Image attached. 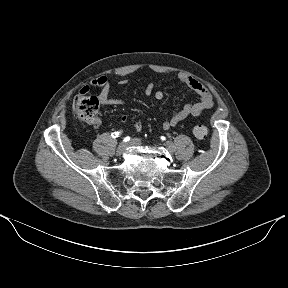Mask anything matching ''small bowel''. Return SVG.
<instances>
[{
  "label": "small bowel",
  "instance_id": "1",
  "mask_svg": "<svg viewBox=\"0 0 288 288\" xmlns=\"http://www.w3.org/2000/svg\"><path fill=\"white\" fill-rule=\"evenodd\" d=\"M178 79L181 83L191 88L199 96V100L192 104L184 105L170 119L164 121L162 127L165 130L178 125L180 122L186 120L189 117H197L201 115L205 110L211 108L214 104L213 97L210 91L198 80L186 74H179ZM118 84L121 86H128L129 81L127 79H122L118 82ZM92 88L100 89L98 99L103 107L125 104L124 99L113 98L110 96L111 83L110 80L105 76L98 77L92 80L89 84L84 85L80 89V93L88 94ZM144 93L148 96L153 95L156 100H162L164 97V92L161 90H156L153 83H149L145 87ZM121 121L125 123L127 121V116L122 115ZM100 123L101 121L98 119L97 122L93 125L97 127L98 125H100ZM141 129V122H135L131 125V130L133 132H139Z\"/></svg>",
  "mask_w": 288,
  "mask_h": 288
}]
</instances>
